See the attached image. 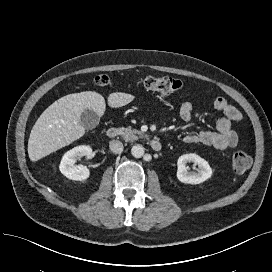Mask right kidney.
<instances>
[{
  "instance_id": "obj_1",
  "label": "right kidney",
  "mask_w": 272,
  "mask_h": 272,
  "mask_svg": "<svg viewBox=\"0 0 272 272\" xmlns=\"http://www.w3.org/2000/svg\"><path fill=\"white\" fill-rule=\"evenodd\" d=\"M92 154L90 146H77L64 154L60 162L59 169L61 173L71 180L83 181L89 178L90 171L86 166L76 165L77 159Z\"/></svg>"
}]
</instances>
